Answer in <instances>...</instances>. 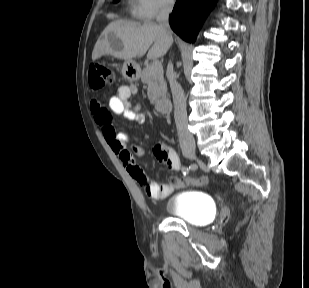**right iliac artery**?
Instances as JSON below:
<instances>
[{"instance_id":"right-iliac-artery-1","label":"right iliac artery","mask_w":309,"mask_h":288,"mask_svg":"<svg viewBox=\"0 0 309 288\" xmlns=\"http://www.w3.org/2000/svg\"><path fill=\"white\" fill-rule=\"evenodd\" d=\"M184 167H187L185 164H182L181 166H180V169L182 170ZM188 169L189 170H197V168H196V165H189V167H188Z\"/></svg>"}]
</instances>
